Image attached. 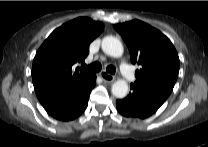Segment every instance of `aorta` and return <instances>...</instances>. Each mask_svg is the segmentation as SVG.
<instances>
[{
	"instance_id": "1",
	"label": "aorta",
	"mask_w": 208,
	"mask_h": 147,
	"mask_svg": "<svg viewBox=\"0 0 208 147\" xmlns=\"http://www.w3.org/2000/svg\"><path fill=\"white\" fill-rule=\"evenodd\" d=\"M103 52L111 57L120 58L123 55V45L121 41L114 36H106L101 43ZM112 94L117 98H124L128 93V84L125 80H117L112 85Z\"/></svg>"
}]
</instances>
